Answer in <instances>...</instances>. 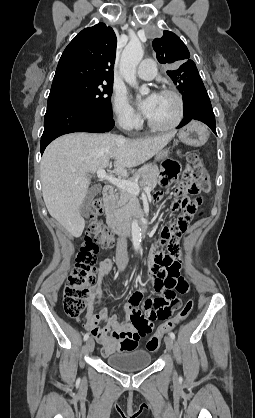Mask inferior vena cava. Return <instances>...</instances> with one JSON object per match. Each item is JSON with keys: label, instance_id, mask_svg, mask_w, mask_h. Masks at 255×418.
<instances>
[{"label": "inferior vena cava", "instance_id": "1", "mask_svg": "<svg viewBox=\"0 0 255 418\" xmlns=\"http://www.w3.org/2000/svg\"><path fill=\"white\" fill-rule=\"evenodd\" d=\"M116 260L120 262L128 261L127 240L126 236L121 234L117 240Z\"/></svg>", "mask_w": 255, "mask_h": 418}]
</instances>
